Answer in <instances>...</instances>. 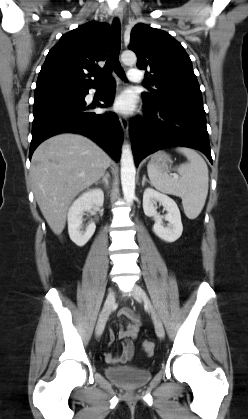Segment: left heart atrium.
Segmentation results:
<instances>
[{"label": "left heart atrium", "instance_id": "39dd6f15", "mask_svg": "<svg viewBox=\"0 0 248 419\" xmlns=\"http://www.w3.org/2000/svg\"><path fill=\"white\" fill-rule=\"evenodd\" d=\"M135 105L136 98L134 94L130 91H125L116 98L114 109L122 113H129L134 110Z\"/></svg>", "mask_w": 248, "mask_h": 419}]
</instances>
